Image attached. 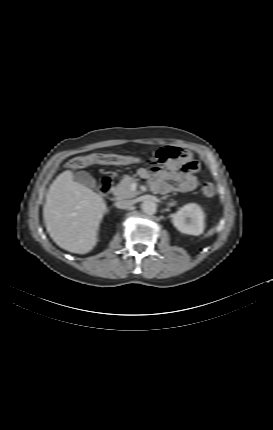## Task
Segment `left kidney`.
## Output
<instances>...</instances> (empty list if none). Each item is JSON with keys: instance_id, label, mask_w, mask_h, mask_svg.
Masks as SVG:
<instances>
[{"instance_id": "left-kidney-1", "label": "left kidney", "mask_w": 273, "mask_h": 430, "mask_svg": "<svg viewBox=\"0 0 273 430\" xmlns=\"http://www.w3.org/2000/svg\"><path fill=\"white\" fill-rule=\"evenodd\" d=\"M173 225L182 233L198 236L205 228V213L196 203H189L173 214Z\"/></svg>"}]
</instances>
